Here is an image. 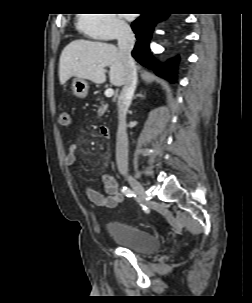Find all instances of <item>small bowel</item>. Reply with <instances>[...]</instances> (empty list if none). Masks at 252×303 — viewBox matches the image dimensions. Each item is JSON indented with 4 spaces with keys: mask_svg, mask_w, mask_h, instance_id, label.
Returning a JSON list of instances; mask_svg holds the SVG:
<instances>
[{
    "mask_svg": "<svg viewBox=\"0 0 252 303\" xmlns=\"http://www.w3.org/2000/svg\"><path fill=\"white\" fill-rule=\"evenodd\" d=\"M78 145L77 143H71L68 146V153L65 157V164L69 167L75 166L77 162ZM102 183L107 195H103L100 192L88 188L86 194L88 199L97 207L104 209H111L118 206L124 200L123 192L120 188V184L115 177L110 174L102 175Z\"/></svg>",
    "mask_w": 252,
    "mask_h": 303,
    "instance_id": "1",
    "label": "small bowel"
}]
</instances>
